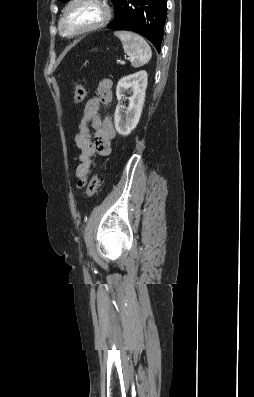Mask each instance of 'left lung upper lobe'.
I'll return each instance as SVG.
<instances>
[{"mask_svg": "<svg viewBox=\"0 0 254 397\" xmlns=\"http://www.w3.org/2000/svg\"><path fill=\"white\" fill-rule=\"evenodd\" d=\"M59 1H61V2H67V1H69V0H59ZM111 1H113V0H111Z\"/></svg>", "mask_w": 254, "mask_h": 397, "instance_id": "obj_1", "label": "left lung upper lobe"}]
</instances>
